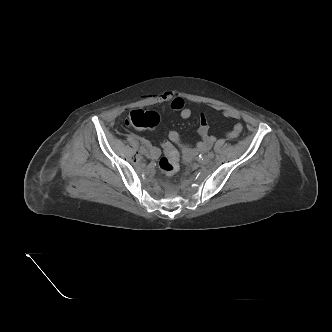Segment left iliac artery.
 Here are the masks:
<instances>
[{
    "mask_svg": "<svg viewBox=\"0 0 332 332\" xmlns=\"http://www.w3.org/2000/svg\"><path fill=\"white\" fill-rule=\"evenodd\" d=\"M208 156L212 159V158H214L215 155H214L213 152H209V153H208Z\"/></svg>",
    "mask_w": 332,
    "mask_h": 332,
    "instance_id": "1",
    "label": "left iliac artery"
}]
</instances>
